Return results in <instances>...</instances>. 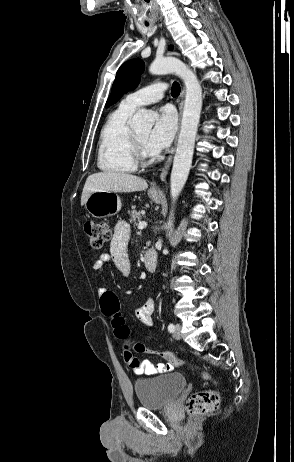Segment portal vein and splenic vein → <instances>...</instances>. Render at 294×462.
<instances>
[{"instance_id":"1","label":"portal vein and splenic vein","mask_w":294,"mask_h":462,"mask_svg":"<svg viewBox=\"0 0 294 462\" xmlns=\"http://www.w3.org/2000/svg\"><path fill=\"white\" fill-rule=\"evenodd\" d=\"M146 226H147V222L142 221V222H140V223L138 224V229H143V228H145Z\"/></svg>"}]
</instances>
